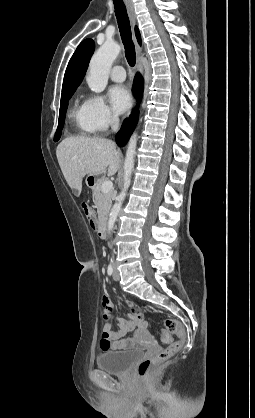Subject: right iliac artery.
Instances as JSON below:
<instances>
[{"instance_id": "right-iliac-artery-1", "label": "right iliac artery", "mask_w": 255, "mask_h": 418, "mask_svg": "<svg viewBox=\"0 0 255 418\" xmlns=\"http://www.w3.org/2000/svg\"><path fill=\"white\" fill-rule=\"evenodd\" d=\"M107 273L109 276H111L113 273V265L111 263L108 266Z\"/></svg>"}]
</instances>
